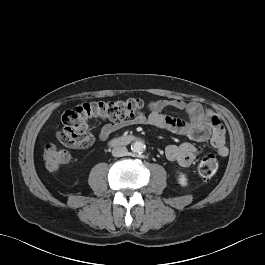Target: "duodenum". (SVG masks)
I'll use <instances>...</instances> for the list:
<instances>
[{
	"mask_svg": "<svg viewBox=\"0 0 265 265\" xmlns=\"http://www.w3.org/2000/svg\"><path fill=\"white\" fill-rule=\"evenodd\" d=\"M133 140H135V137L131 135L119 136V137L111 139L110 145L111 146L127 145L131 143Z\"/></svg>",
	"mask_w": 265,
	"mask_h": 265,
	"instance_id": "duodenum-1",
	"label": "duodenum"
}]
</instances>
